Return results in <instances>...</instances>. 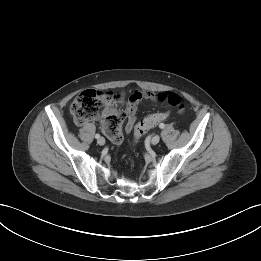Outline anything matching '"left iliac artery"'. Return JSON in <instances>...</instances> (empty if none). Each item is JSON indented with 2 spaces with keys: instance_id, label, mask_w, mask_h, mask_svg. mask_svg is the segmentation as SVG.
Returning a JSON list of instances; mask_svg holds the SVG:
<instances>
[{
  "instance_id": "1",
  "label": "left iliac artery",
  "mask_w": 261,
  "mask_h": 261,
  "mask_svg": "<svg viewBox=\"0 0 261 261\" xmlns=\"http://www.w3.org/2000/svg\"><path fill=\"white\" fill-rule=\"evenodd\" d=\"M159 127H160L161 129H163V128L165 127L164 123H161V124L159 125Z\"/></svg>"
}]
</instances>
